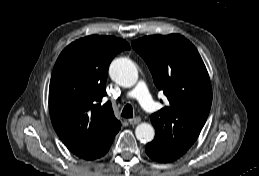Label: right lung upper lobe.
Returning <instances> with one entry per match:
<instances>
[{
    "instance_id": "obj_1",
    "label": "right lung upper lobe",
    "mask_w": 259,
    "mask_h": 176,
    "mask_svg": "<svg viewBox=\"0 0 259 176\" xmlns=\"http://www.w3.org/2000/svg\"><path fill=\"white\" fill-rule=\"evenodd\" d=\"M130 49L120 38L91 35L68 45L58 57L49 86L53 127L66 147L90 160L114 140L121 123L106 95L111 60Z\"/></svg>"
}]
</instances>
